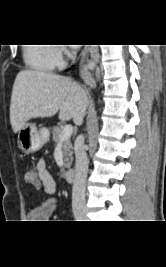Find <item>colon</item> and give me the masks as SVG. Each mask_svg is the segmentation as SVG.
I'll return each mask as SVG.
<instances>
[{
	"label": "colon",
	"instance_id": "colon-1",
	"mask_svg": "<svg viewBox=\"0 0 166 267\" xmlns=\"http://www.w3.org/2000/svg\"><path fill=\"white\" fill-rule=\"evenodd\" d=\"M23 174H25V182H28V185H42V180L38 177V172L34 169H23Z\"/></svg>",
	"mask_w": 166,
	"mask_h": 267
}]
</instances>
